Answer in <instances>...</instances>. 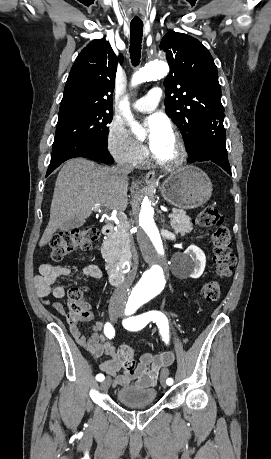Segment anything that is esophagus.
<instances>
[{
	"instance_id": "34e87169",
	"label": "esophagus",
	"mask_w": 271,
	"mask_h": 459,
	"mask_svg": "<svg viewBox=\"0 0 271 459\" xmlns=\"http://www.w3.org/2000/svg\"><path fill=\"white\" fill-rule=\"evenodd\" d=\"M145 182H146L147 185H156L157 178H156V174H155V172L153 170H150L149 172L146 173Z\"/></svg>"
}]
</instances>
